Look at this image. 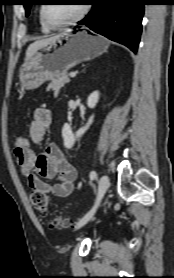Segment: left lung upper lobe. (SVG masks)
<instances>
[{"instance_id": "5c2ea615", "label": "left lung upper lobe", "mask_w": 174, "mask_h": 278, "mask_svg": "<svg viewBox=\"0 0 174 278\" xmlns=\"http://www.w3.org/2000/svg\"><path fill=\"white\" fill-rule=\"evenodd\" d=\"M23 5H24V7H25V9H26V16H28L29 15V12H30V7H31V5H33L34 3V0H23Z\"/></svg>"}]
</instances>
